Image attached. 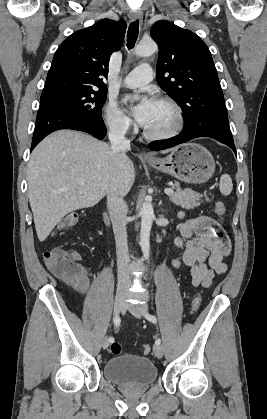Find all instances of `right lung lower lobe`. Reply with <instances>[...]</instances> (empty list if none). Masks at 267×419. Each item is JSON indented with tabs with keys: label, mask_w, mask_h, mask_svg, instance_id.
Returning <instances> with one entry per match:
<instances>
[{
	"label": "right lung lower lobe",
	"mask_w": 267,
	"mask_h": 419,
	"mask_svg": "<svg viewBox=\"0 0 267 419\" xmlns=\"http://www.w3.org/2000/svg\"><path fill=\"white\" fill-rule=\"evenodd\" d=\"M60 129L83 131L103 139L107 133L103 120L91 121L50 102H41L37 113L31 151L48 134Z\"/></svg>",
	"instance_id": "1"
}]
</instances>
